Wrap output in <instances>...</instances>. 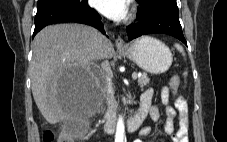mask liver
Listing matches in <instances>:
<instances>
[{
	"label": "liver",
	"mask_w": 227,
	"mask_h": 142,
	"mask_svg": "<svg viewBox=\"0 0 227 142\" xmlns=\"http://www.w3.org/2000/svg\"><path fill=\"white\" fill-rule=\"evenodd\" d=\"M95 30L79 24H57L41 30L32 43L30 64L32 94L38 109L50 124L73 117L71 97H77L86 81L98 85L91 65L115 54L104 37L100 54L93 45ZM72 73V78H64ZM76 103V102H75Z\"/></svg>",
	"instance_id": "6515ba94"
}]
</instances>
